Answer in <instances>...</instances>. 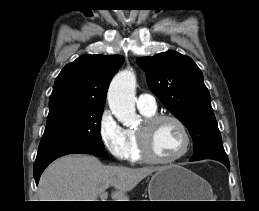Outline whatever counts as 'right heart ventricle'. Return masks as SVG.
Masks as SVG:
<instances>
[{"mask_svg": "<svg viewBox=\"0 0 259 211\" xmlns=\"http://www.w3.org/2000/svg\"><path fill=\"white\" fill-rule=\"evenodd\" d=\"M144 117H149L155 114L154 112H148L140 110ZM127 140H128V154L127 159L134 163L143 162L142 156L139 151L138 139L136 130L128 129L126 130Z\"/></svg>", "mask_w": 259, "mask_h": 211, "instance_id": "obj_1", "label": "right heart ventricle"}]
</instances>
